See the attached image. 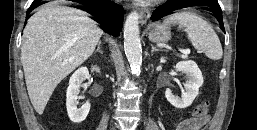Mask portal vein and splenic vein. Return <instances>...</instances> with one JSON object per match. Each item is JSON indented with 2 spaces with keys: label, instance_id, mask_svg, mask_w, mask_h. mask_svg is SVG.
Wrapping results in <instances>:
<instances>
[{
  "label": "portal vein and splenic vein",
  "instance_id": "18ae733b",
  "mask_svg": "<svg viewBox=\"0 0 257 130\" xmlns=\"http://www.w3.org/2000/svg\"><path fill=\"white\" fill-rule=\"evenodd\" d=\"M181 52L185 55L189 54L190 53V50L189 49H186V50H181Z\"/></svg>",
  "mask_w": 257,
  "mask_h": 130
}]
</instances>
